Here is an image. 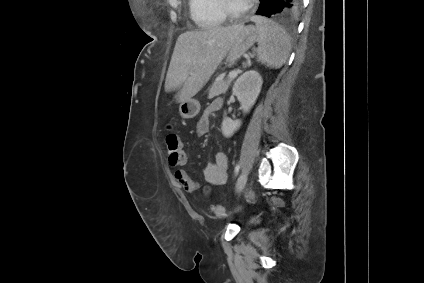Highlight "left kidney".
<instances>
[{
    "mask_svg": "<svg viewBox=\"0 0 424 283\" xmlns=\"http://www.w3.org/2000/svg\"><path fill=\"white\" fill-rule=\"evenodd\" d=\"M262 83V77L254 70L243 73L234 83L232 92L240 102L241 109L244 113H248L255 104L261 91ZM240 126V120L233 121L225 116L221 126L222 134L225 137H231Z\"/></svg>",
    "mask_w": 424,
    "mask_h": 283,
    "instance_id": "left-kidney-1",
    "label": "left kidney"
}]
</instances>
